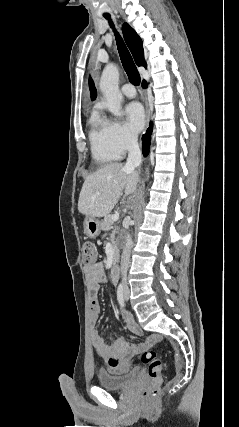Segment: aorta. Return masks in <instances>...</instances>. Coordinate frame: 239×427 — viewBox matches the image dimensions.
I'll list each match as a JSON object with an SVG mask.
<instances>
[{
	"mask_svg": "<svg viewBox=\"0 0 239 427\" xmlns=\"http://www.w3.org/2000/svg\"><path fill=\"white\" fill-rule=\"evenodd\" d=\"M118 81V68L113 64L106 65L102 72L100 89L106 99L107 109L115 116H121L122 94L118 88ZM146 172L148 174V169Z\"/></svg>",
	"mask_w": 239,
	"mask_h": 427,
	"instance_id": "aorta-1",
	"label": "aorta"
}]
</instances>
